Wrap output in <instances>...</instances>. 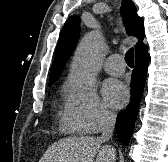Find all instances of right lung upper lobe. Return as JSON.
I'll return each mask as SVG.
<instances>
[{"label":"right lung upper lobe","mask_w":168,"mask_h":162,"mask_svg":"<svg viewBox=\"0 0 168 162\" xmlns=\"http://www.w3.org/2000/svg\"><path fill=\"white\" fill-rule=\"evenodd\" d=\"M121 15L123 17L127 34L139 39L135 46L136 55L146 52L147 47L142 43L144 37V22L143 19L137 15L132 0H123ZM79 24L80 18L77 16L69 17L65 22L57 44L55 59L52 63L49 83L55 82L58 79L71 55V52L75 48L79 39Z\"/></svg>","instance_id":"obj_1"}]
</instances>
